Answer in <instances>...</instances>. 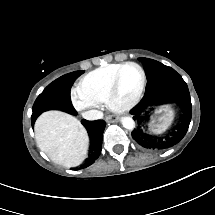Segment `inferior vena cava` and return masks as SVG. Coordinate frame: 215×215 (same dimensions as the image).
Listing matches in <instances>:
<instances>
[{
  "label": "inferior vena cava",
  "instance_id": "obj_1",
  "mask_svg": "<svg viewBox=\"0 0 215 215\" xmlns=\"http://www.w3.org/2000/svg\"><path fill=\"white\" fill-rule=\"evenodd\" d=\"M82 117L86 120H99L103 118V112L99 110H89L83 112Z\"/></svg>",
  "mask_w": 215,
  "mask_h": 215
}]
</instances>
